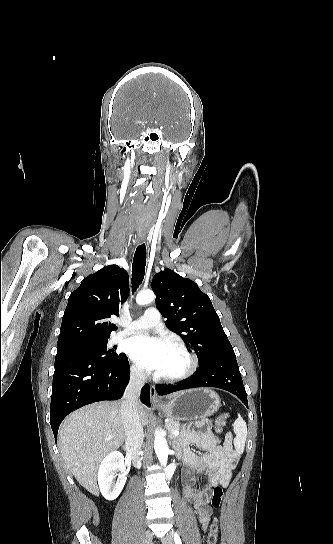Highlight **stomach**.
<instances>
[{
    "label": "stomach",
    "instance_id": "stomach-1",
    "mask_svg": "<svg viewBox=\"0 0 333 544\" xmlns=\"http://www.w3.org/2000/svg\"><path fill=\"white\" fill-rule=\"evenodd\" d=\"M220 407L219 395L209 388H198L178 393L160 409L168 418L191 420L207 418Z\"/></svg>",
    "mask_w": 333,
    "mask_h": 544
}]
</instances>
